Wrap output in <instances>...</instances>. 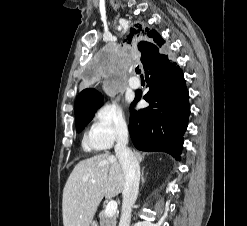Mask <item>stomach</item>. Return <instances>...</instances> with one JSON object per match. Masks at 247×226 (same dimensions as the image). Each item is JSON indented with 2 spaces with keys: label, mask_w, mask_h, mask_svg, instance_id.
Masks as SVG:
<instances>
[{
  "label": "stomach",
  "mask_w": 247,
  "mask_h": 226,
  "mask_svg": "<svg viewBox=\"0 0 247 226\" xmlns=\"http://www.w3.org/2000/svg\"><path fill=\"white\" fill-rule=\"evenodd\" d=\"M90 226H96V224L92 223Z\"/></svg>",
  "instance_id": "1"
}]
</instances>
